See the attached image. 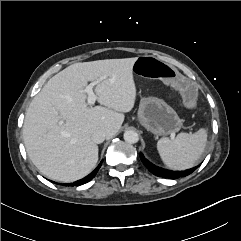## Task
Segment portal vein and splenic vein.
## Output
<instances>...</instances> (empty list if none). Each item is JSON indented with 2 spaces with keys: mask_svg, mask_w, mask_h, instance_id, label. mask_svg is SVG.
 <instances>
[{
  "mask_svg": "<svg viewBox=\"0 0 241 241\" xmlns=\"http://www.w3.org/2000/svg\"><path fill=\"white\" fill-rule=\"evenodd\" d=\"M98 83H99V81H94V82L90 83L89 85H87L84 89V92L88 95L87 103L89 105H93L95 103V101L97 100V96L93 91V87L95 85H97Z\"/></svg>",
  "mask_w": 241,
  "mask_h": 241,
  "instance_id": "obj_1",
  "label": "portal vein and splenic vein"
}]
</instances>
